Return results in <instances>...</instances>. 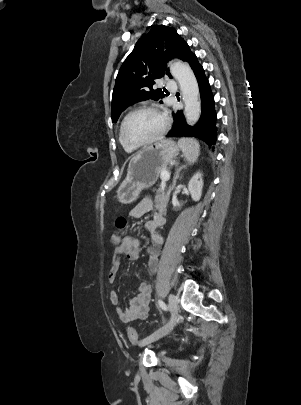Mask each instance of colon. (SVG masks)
Segmentation results:
<instances>
[{"instance_id": "obj_1", "label": "colon", "mask_w": 301, "mask_h": 405, "mask_svg": "<svg viewBox=\"0 0 301 405\" xmlns=\"http://www.w3.org/2000/svg\"><path fill=\"white\" fill-rule=\"evenodd\" d=\"M116 226L120 230L124 229L127 226V220L124 217H118L116 220ZM110 240L113 243L114 247H119L120 243L122 242V237L119 236V234L115 232L111 235ZM127 334H128V338L132 344L137 345L140 343V339H139L136 331L132 327H128Z\"/></svg>"}]
</instances>
